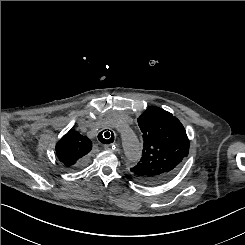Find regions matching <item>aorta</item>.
I'll list each match as a JSON object with an SVG mask.
<instances>
[{
    "label": "aorta",
    "mask_w": 245,
    "mask_h": 245,
    "mask_svg": "<svg viewBox=\"0 0 245 245\" xmlns=\"http://www.w3.org/2000/svg\"><path fill=\"white\" fill-rule=\"evenodd\" d=\"M120 135L125 155L128 159L137 161L141 155L140 143L134 131L123 124L120 128Z\"/></svg>",
    "instance_id": "1"
}]
</instances>
